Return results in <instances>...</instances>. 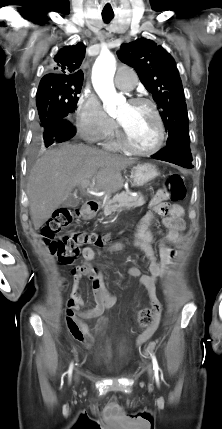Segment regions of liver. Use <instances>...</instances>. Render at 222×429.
Wrapping results in <instances>:
<instances>
[{"instance_id":"obj_1","label":"liver","mask_w":222,"mask_h":429,"mask_svg":"<svg viewBox=\"0 0 222 429\" xmlns=\"http://www.w3.org/2000/svg\"><path fill=\"white\" fill-rule=\"evenodd\" d=\"M134 163L133 159L84 145L63 144L45 151L32 167L27 184L35 230L84 181L93 179L96 186L107 193L120 190L123 184L121 171Z\"/></svg>"}]
</instances>
